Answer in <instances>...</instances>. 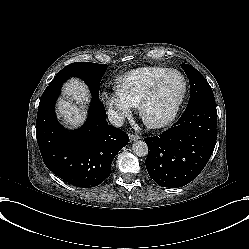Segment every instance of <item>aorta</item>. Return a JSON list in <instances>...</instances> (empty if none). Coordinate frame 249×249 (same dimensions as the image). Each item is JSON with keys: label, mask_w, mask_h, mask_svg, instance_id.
<instances>
[{"label": "aorta", "mask_w": 249, "mask_h": 249, "mask_svg": "<svg viewBox=\"0 0 249 249\" xmlns=\"http://www.w3.org/2000/svg\"><path fill=\"white\" fill-rule=\"evenodd\" d=\"M132 151L138 157H145L148 155V145L141 140L135 141L132 144Z\"/></svg>", "instance_id": "1"}]
</instances>
